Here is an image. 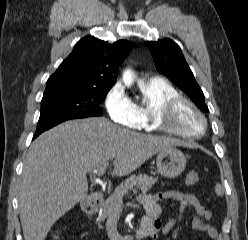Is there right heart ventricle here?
Segmentation results:
<instances>
[{
    "label": "right heart ventricle",
    "instance_id": "obj_1",
    "mask_svg": "<svg viewBox=\"0 0 248 240\" xmlns=\"http://www.w3.org/2000/svg\"><path fill=\"white\" fill-rule=\"evenodd\" d=\"M142 101L135 103L138 118L137 128L145 131H159L155 125L154 117L157 109L166 99L179 94L178 90L167 80L153 77L140 83Z\"/></svg>",
    "mask_w": 248,
    "mask_h": 240
}]
</instances>
